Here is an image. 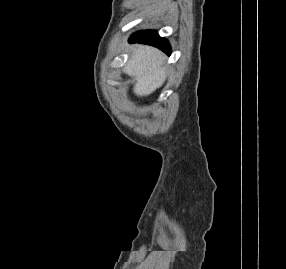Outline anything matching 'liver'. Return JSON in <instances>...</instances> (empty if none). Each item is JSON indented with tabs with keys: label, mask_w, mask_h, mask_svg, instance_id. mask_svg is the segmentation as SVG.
Here are the masks:
<instances>
[{
	"label": "liver",
	"mask_w": 286,
	"mask_h": 269,
	"mask_svg": "<svg viewBox=\"0 0 286 269\" xmlns=\"http://www.w3.org/2000/svg\"><path fill=\"white\" fill-rule=\"evenodd\" d=\"M164 55L155 48L136 45L123 71L138 77L133 91L137 96H147L161 87L166 79Z\"/></svg>",
	"instance_id": "1"
}]
</instances>
